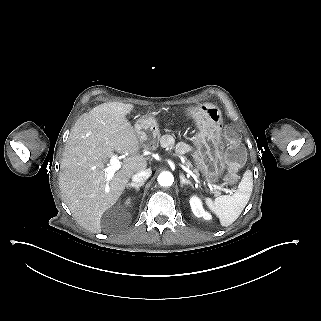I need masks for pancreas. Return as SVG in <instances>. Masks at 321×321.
Wrapping results in <instances>:
<instances>
[{"mask_svg": "<svg viewBox=\"0 0 321 321\" xmlns=\"http://www.w3.org/2000/svg\"><path fill=\"white\" fill-rule=\"evenodd\" d=\"M186 166L192 167L191 162H190V161H187V162H186ZM194 172L196 173V175L199 174V173L197 172V170H194ZM216 194L218 195V194H220V192L216 191Z\"/></svg>", "mask_w": 321, "mask_h": 321, "instance_id": "pancreas-1", "label": "pancreas"}]
</instances>
